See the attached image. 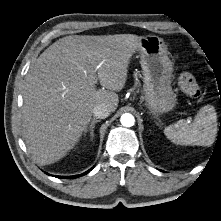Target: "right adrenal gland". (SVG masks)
<instances>
[{"instance_id":"2a0ac1e0","label":"right adrenal gland","mask_w":221,"mask_h":221,"mask_svg":"<svg viewBox=\"0 0 221 221\" xmlns=\"http://www.w3.org/2000/svg\"><path fill=\"white\" fill-rule=\"evenodd\" d=\"M100 122V120L97 119H93L89 125V127L84 131V133H87L88 131L90 132V137L93 140L94 138V128H95V124Z\"/></svg>"}]
</instances>
